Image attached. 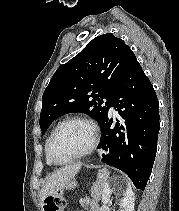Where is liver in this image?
<instances>
[{
    "label": "liver",
    "instance_id": "obj_1",
    "mask_svg": "<svg viewBox=\"0 0 179 211\" xmlns=\"http://www.w3.org/2000/svg\"><path fill=\"white\" fill-rule=\"evenodd\" d=\"M80 168L81 164H74L61 168L52 173L41 189L40 199L43 201L46 197L62 190L68 184V182L74 178Z\"/></svg>",
    "mask_w": 179,
    "mask_h": 211
}]
</instances>
